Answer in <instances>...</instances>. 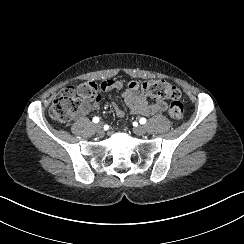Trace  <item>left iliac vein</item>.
<instances>
[{
  "label": "left iliac vein",
  "mask_w": 244,
  "mask_h": 244,
  "mask_svg": "<svg viewBox=\"0 0 244 244\" xmlns=\"http://www.w3.org/2000/svg\"><path fill=\"white\" fill-rule=\"evenodd\" d=\"M134 133L137 136H143L146 133V128L144 126H137L134 128Z\"/></svg>",
  "instance_id": "obj_1"
}]
</instances>
